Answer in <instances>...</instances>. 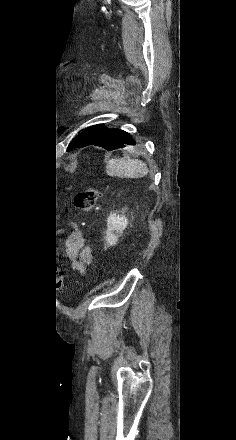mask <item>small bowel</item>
Returning a JSON list of instances; mask_svg holds the SVG:
<instances>
[{"label": "small bowel", "instance_id": "obj_1", "mask_svg": "<svg viewBox=\"0 0 236 440\" xmlns=\"http://www.w3.org/2000/svg\"><path fill=\"white\" fill-rule=\"evenodd\" d=\"M73 232L67 249L68 256L72 259L71 268L74 272L84 274L93 261L92 249L86 243L83 232L71 222Z\"/></svg>", "mask_w": 236, "mask_h": 440}]
</instances>
